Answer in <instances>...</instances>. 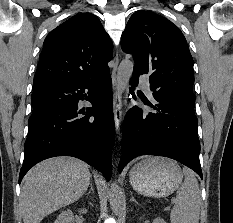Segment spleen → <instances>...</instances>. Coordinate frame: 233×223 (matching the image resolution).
Listing matches in <instances>:
<instances>
[{"instance_id": "spleen-1", "label": "spleen", "mask_w": 233, "mask_h": 223, "mask_svg": "<svg viewBox=\"0 0 233 223\" xmlns=\"http://www.w3.org/2000/svg\"><path fill=\"white\" fill-rule=\"evenodd\" d=\"M185 179L179 187L175 205L171 209V223H199L201 193L193 171H184Z\"/></svg>"}]
</instances>
